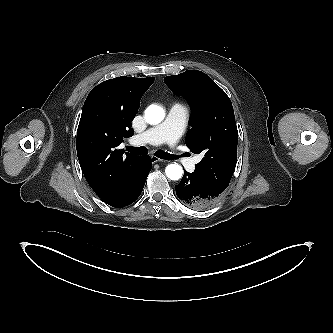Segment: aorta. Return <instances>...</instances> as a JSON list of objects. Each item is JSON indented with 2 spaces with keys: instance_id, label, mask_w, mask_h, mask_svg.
<instances>
[{
  "instance_id": "aorta-1",
  "label": "aorta",
  "mask_w": 333,
  "mask_h": 333,
  "mask_svg": "<svg viewBox=\"0 0 333 333\" xmlns=\"http://www.w3.org/2000/svg\"><path fill=\"white\" fill-rule=\"evenodd\" d=\"M165 117V110L155 104L147 107L145 118L150 124H159ZM166 176L171 180H179L182 177L183 169L178 164H169L165 169Z\"/></svg>"
}]
</instances>
